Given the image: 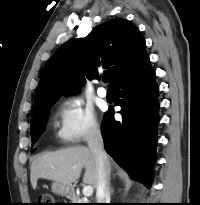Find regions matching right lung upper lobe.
Wrapping results in <instances>:
<instances>
[{
    "label": "right lung upper lobe",
    "instance_id": "obj_1",
    "mask_svg": "<svg viewBox=\"0 0 200 205\" xmlns=\"http://www.w3.org/2000/svg\"><path fill=\"white\" fill-rule=\"evenodd\" d=\"M145 48L141 33L126 19L110 20L94 27L86 38L66 42L43 68L33 116L45 101L77 92L84 74L97 79L108 72L114 86L149 59Z\"/></svg>",
    "mask_w": 200,
    "mask_h": 205
}]
</instances>
